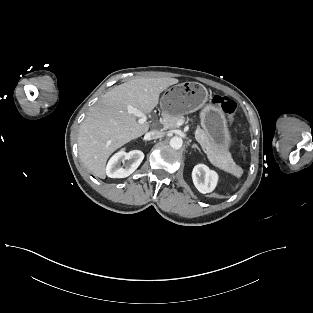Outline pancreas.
<instances>
[{
  "instance_id": "1",
  "label": "pancreas",
  "mask_w": 313,
  "mask_h": 313,
  "mask_svg": "<svg viewBox=\"0 0 313 313\" xmlns=\"http://www.w3.org/2000/svg\"><path fill=\"white\" fill-rule=\"evenodd\" d=\"M183 115L175 116L165 114L162 124L165 128H174L179 120H184ZM195 139L201 145L203 151L207 154L208 159L219 169L238 176L241 168L236 165L231 154L227 151L220 150L205 134V132L197 127L195 131Z\"/></svg>"
}]
</instances>
